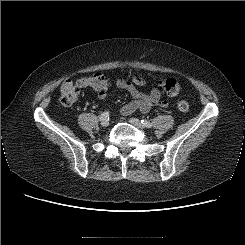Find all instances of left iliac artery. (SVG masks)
<instances>
[{
  "label": "left iliac artery",
  "instance_id": "1",
  "mask_svg": "<svg viewBox=\"0 0 245 245\" xmlns=\"http://www.w3.org/2000/svg\"><path fill=\"white\" fill-rule=\"evenodd\" d=\"M141 123H142V125H143L144 127L152 128V124H151L149 121H147V120L142 119V120H141Z\"/></svg>",
  "mask_w": 245,
  "mask_h": 245
}]
</instances>
